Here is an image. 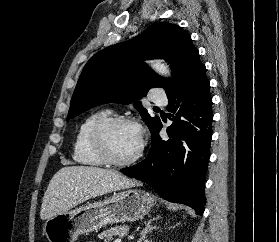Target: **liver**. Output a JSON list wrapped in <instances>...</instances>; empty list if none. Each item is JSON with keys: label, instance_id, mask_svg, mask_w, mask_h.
Listing matches in <instances>:
<instances>
[{"label": "liver", "instance_id": "liver-1", "mask_svg": "<svg viewBox=\"0 0 279 242\" xmlns=\"http://www.w3.org/2000/svg\"><path fill=\"white\" fill-rule=\"evenodd\" d=\"M138 185L137 181L112 170L88 166L63 167L52 177L44 193L40 217L46 220L88 199Z\"/></svg>", "mask_w": 279, "mask_h": 242}]
</instances>
